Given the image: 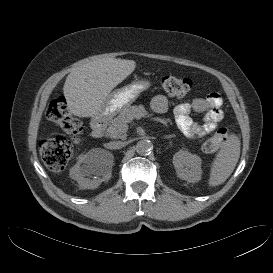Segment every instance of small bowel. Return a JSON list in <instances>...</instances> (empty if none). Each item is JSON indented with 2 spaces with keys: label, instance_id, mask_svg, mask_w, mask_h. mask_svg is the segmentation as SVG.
I'll return each instance as SVG.
<instances>
[{
  "label": "small bowel",
  "instance_id": "small-bowel-1",
  "mask_svg": "<svg viewBox=\"0 0 273 273\" xmlns=\"http://www.w3.org/2000/svg\"><path fill=\"white\" fill-rule=\"evenodd\" d=\"M222 97L217 92H211L205 97L194 99L190 103L179 105L175 112V120L180 129L189 137L200 138L214 131L222 121L224 113L221 109ZM150 106L153 111L163 113L168 109V100L163 95L155 96ZM192 111L204 112L205 115L200 122L190 118Z\"/></svg>",
  "mask_w": 273,
  "mask_h": 273
}]
</instances>
